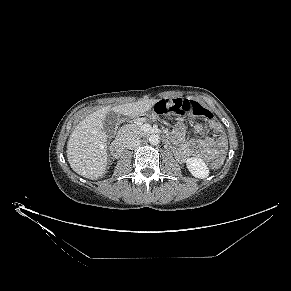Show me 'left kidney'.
Instances as JSON below:
<instances>
[{
    "instance_id": "obj_1",
    "label": "left kidney",
    "mask_w": 291,
    "mask_h": 291,
    "mask_svg": "<svg viewBox=\"0 0 291 291\" xmlns=\"http://www.w3.org/2000/svg\"><path fill=\"white\" fill-rule=\"evenodd\" d=\"M189 172L196 178H206L209 175V168L201 158H188L186 161Z\"/></svg>"
}]
</instances>
